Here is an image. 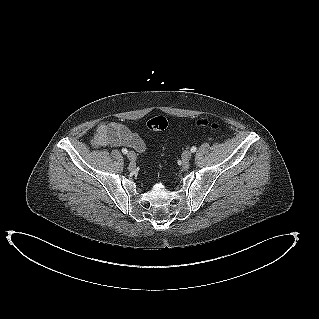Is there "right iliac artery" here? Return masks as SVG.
<instances>
[{"label": "right iliac artery", "mask_w": 319, "mask_h": 319, "mask_svg": "<svg viewBox=\"0 0 319 319\" xmlns=\"http://www.w3.org/2000/svg\"><path fill=\"white\" fill-rule=\"evenodd\" d=\"M122 153L127 154V153H128V150H127L126 148H123V149H122Z\"/></svg>", "instance_id": "obj_1"}]
</instances>
